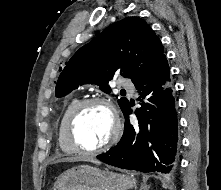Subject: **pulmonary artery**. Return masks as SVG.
<instances>
[{
	"label": "pulmonary artery",
	"instance_id": "e3ab8cb5",
	"mask_svg": "<svg viewBox=\"0 0 221 190\" xmlns=\"http://www.w3.org/2000/svg\"><path fill=\"white\" fill-rule=\"evenodd\" d=\"M119 85L124 88H132V82L129 79L122 78L119 81Z\"/></svg>",
	"mask_w": 221,
	"mask_h": 190
}]
</instances>
